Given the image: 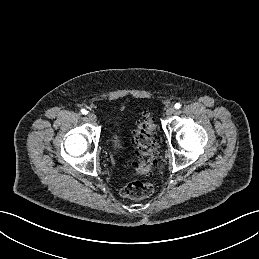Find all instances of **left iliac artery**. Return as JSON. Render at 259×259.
<instances>
[{"label":"left iliac artery","instance_id":"obj_1","mask_svg":"<svg viewBox=\"0 0 259 259\" xmlns=\"http://www.w3.org/2000/svg\"><path fill=\"white\" fill-rule=\"evenodd\" d=\"M174 107H175L176 109H179V108H181V104H180V103H176V104L174 105Z\"/></svg>","mask_w":259,"mask_h":259}]
</instances>
